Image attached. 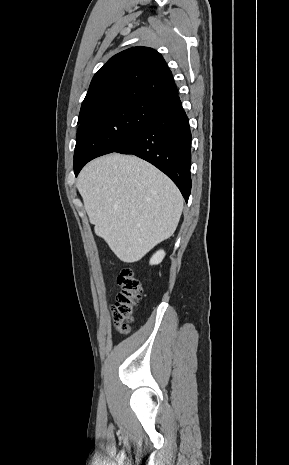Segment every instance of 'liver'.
<instances>
[{"mask_svg":"<svg viewBox=\"0 0 289 465\" xmlns=\"http://www.w3.org/2000/svg\"><path fill=\"white\" fill-rule=\"evenodd\" d=\"M77 188L95 233L123 262L139 261L176 230L183 197L150 163L118 153L89 162Z\"/></svg>","mask_w":289,"mask_h":465,"instance_id":"obj_1","label":"liver"}]
</instances>
